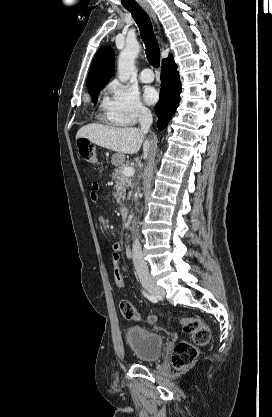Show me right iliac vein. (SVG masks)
<instances>
[{
    "mask_svg": "<svg viewBox=\"0 0 272 417\" xmlns=\"http://www.w3.org/2000/svg\"><path fill=\"white\" fill-rule=\"evenodd\" d=\"M141 283L143 285V287L149 291L150 293H152L153 295H157V296H164L165 295V291L163 288H161L160 286L156 285V283L147 276H141L140 277Z\"/></svg>",
    "mask_w": 272,
    "mask_h": 417,
    "instance_id": "obj_1",
    "label": "right iliac vein"
}]
</instances>
